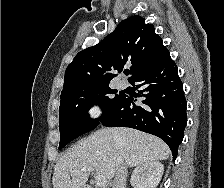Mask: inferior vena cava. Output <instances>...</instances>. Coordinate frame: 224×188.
I'll use <instances>...</instances> for the list:
<instances>
[{
	"mask_svg": "<svg viewBox=\"0 0 224 188\" xmlns=\"http://www.w3.org/2000/svg\"><path fill=\"white\" fill-rule=\"evenodd\" d=\"M127 173V165L120 164L115 174L113 188H126Z\"/></svg>",
	"mask_w": 224,
	"mask_h": 188,
	"instance_id": "602c4592",
	"label": "inferior vena cava"
}]
</instances>
